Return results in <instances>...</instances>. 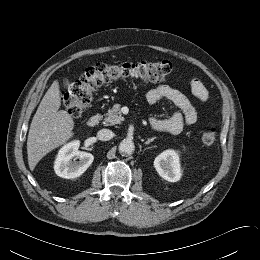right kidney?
Masks as SVG:
<instances>
[{"instance_id":"ca27d5eb","label":"right kidney","mask_w":260,"mask_h":260,"mask_svg":"<svg viewBox=\"0 0 260 260\" xmlns=\"http://www.w3.org/2000/svg\"><path fill=\"white\" fill-rule=\"evenodd\" d=\"M79 145V141H72L59 150L54 163V170L58 176L66 179L77 178L92 164L94 156L91 153L79 151ZM74 157L79 161H72Z\"/></svg>"}]
</instances>
